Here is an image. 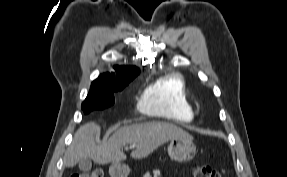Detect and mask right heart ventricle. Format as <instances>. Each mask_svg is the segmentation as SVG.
Wrapping results in <instances>:
<instances>
[{"label": "right heart ventricle", "mask_w": 287, "mask_h": 177, "mask_svg": "<svg viewBox=\"0 0 287 177\" xmlns=\"http://www.w3.org/2000/svg\"><path fill=\"white\" fill-rule=\"evenodd\" d=\"M139 108L147 116L172 122H188L194 116L187 81L179 73L150 84L141 96Z\"/></svg>", "instance_id": "obj_1"}]
</instances>
